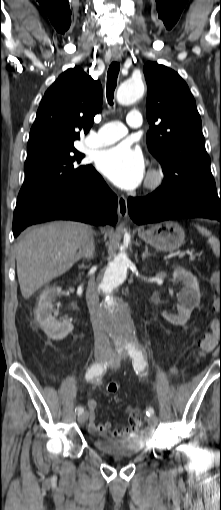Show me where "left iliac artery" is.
Listing matches in <instances>:
<instances>
[{"label": "left iliac artery", "instance_id": "44dca946", "mask_svg": "<svg viewBox=\"0 0 221 510\" xmlns=\"http://www.w3.org/2000/svg\"><path fill=\"white\" fill-rule=\"evenodd\" d=\"M128 354L132 358V363H133L135 372L137 374L141 373L147 366V361H146L144 352L141 349H139L138 347L133 345V346H129ZM153 414H154V409L152 407L147 408L146 415L148 417H150Z\"/></svg>", "mask_w": 221, "mask_h": 510}]
</instances>
